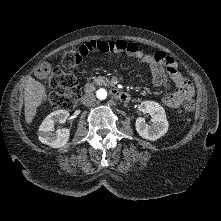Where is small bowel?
Segmentation results:
<instances>
[{
  "instance_id": "1",
  "label": "small bowel",
  "mask_w": 221,
  "mask_h": 221,
  "mask_svg": "<svg viewBox=\"0 0 221 221\" xmlns=\"http://www.w3.org/2000/svg\"><path fill=\"white\" fill-rule=\"evenodd\" d=\"M79 52L84 57L94 52L111 55L126 54L137 62L148 65L153 84L157 87L165 85L168 76L173 81L175 90L172 94L163 96L162 102L171 109H178L185 100L191 99L193 95L190 83L179 72L176 62L164 52L145 54L134 42L120 39L89 40L80 45Z\"/></svg>"
}]
</instances>
